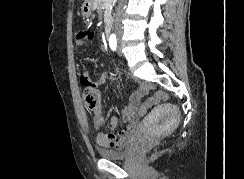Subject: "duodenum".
<instances>
[{
    "instance_id": "obj_1",
    "label": "duodenum",
    "mask_w": 244,
    "mask_h": 179,
    "mask_svg": "<svg viewBox=\"0 0 244 179\" xmlns=\"http://www.w3.org/2000/svg\"><path fill=\"white\" fill-rule=\"evenodd\" d=\"M103 33L105 36H108L109 33H110V23L109 22H106L103 26ZM147 88V86H142L141 89H145Z\"/></svg>"
}]
</instances>
